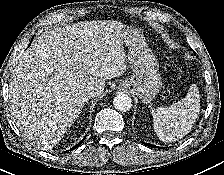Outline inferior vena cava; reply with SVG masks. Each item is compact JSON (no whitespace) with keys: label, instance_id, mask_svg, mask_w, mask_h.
Instances as JSON below:
<instances>
[{"label":"inferior vena cava","instance_id":"602c4592","mask_svg":"<svg viewBox=\"0 0 224 175\" xmlns=\"http://www.w3.org/2000/svg\"><path fill=\"white\" fill-rule=\"evenodd\" d=\"M98 94V91H96L95 89H87L82 94V100L84 102L89 101L91 98L96 97Z\"/></svg>","mask_w":224,"mask_h":175}]
</instances>
